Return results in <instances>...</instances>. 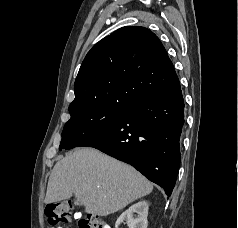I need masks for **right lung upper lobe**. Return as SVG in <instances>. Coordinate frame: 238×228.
<instances>
[{"label":"right lung upper lobe","mask_w":238,"mask_h":228,"mask_svg":"<svg viewBox=\"0 0 238 228\" xmlns=\"http://www.w3.org/2000/svg\"><path fill=\"white\" fill-rule=\"evenodd\" d=\"M178 77L158 37L126 26L87 53L74 84L70 113L91 106L129 105L177 83Z\"/></svg>","instance_id":"obj_1"}]
</instances>
